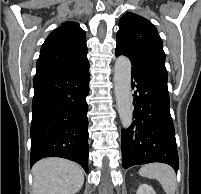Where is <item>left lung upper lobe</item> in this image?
Segmentation results:
<instances>
[{"label": "left lung upper lobe", "instance_id": "5c2ea615", "mask_svg": "<svg viewBox=\"0 0 201 194\" xmlns=\"http://www.w3.org/2000/svg\"><path fill=\"white\" fill-rule=\"evenodd\" d=\"M116 51L133 64L155 66L167 72L162 40L155 26L135 13L124 14L119 21Z\"/></svg>", "mask_w": 201, "mask_h": 194}]
</instances>
